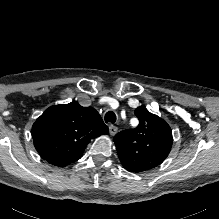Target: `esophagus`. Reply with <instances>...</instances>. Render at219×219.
<instances>
[{
  "instance_id": "34e87169",
  "label": "esophagus",
  "mask_w": 219,
  "mask_h": 219,
  "mask_svg": "<svg viewBox=\"0 0 219 219\" xmlns=\"http://www.w3.org/2000/svg\"><path fill=\"white\" fill-rule=\"evenodd\" d=\"M118 131V128L114 125H109V132L111 136H114Z\"/></svg>"
}]
</instances>
